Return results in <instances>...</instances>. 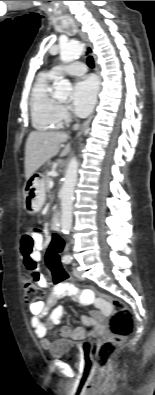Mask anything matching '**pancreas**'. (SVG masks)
Here are the masks:
<instances>
[{"label":"pancreas","instance_id":"1","mask_svg":"<svg viewBox=\"0 0 155 395\" xmlns=\"http://www.w3.org/2000/svg\"><path fill=\"white\" fill-rule=\"evenodd\" d=\"M49 181H51V178L50 177H45L44 178V187H45V190L46 191H49L50 190V188H49Z\"/></svg>","mask_w":155,"mask_h":395}]
</instances>
